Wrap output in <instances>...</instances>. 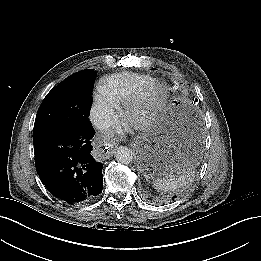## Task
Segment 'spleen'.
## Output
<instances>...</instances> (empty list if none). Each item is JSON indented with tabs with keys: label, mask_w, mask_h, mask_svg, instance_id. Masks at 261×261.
<instances>
[{
	"label": "spleen",
	"mask_w": 261,
	"mask_h": 261,
	"mask_svg": "<svg viewBox=\"0 0 261 261\" xmlns=\"http://www.w3.org/2000/svg\"><path fill=\"white\" fill-rule=\"evenodd\" d=\"M195 176V172L192 170H185L178 178H157L153 186L160 192H174L177 189L186 186Z\"/></svg>",
	"instance_id": "spleen-1"
}]
</instances>
